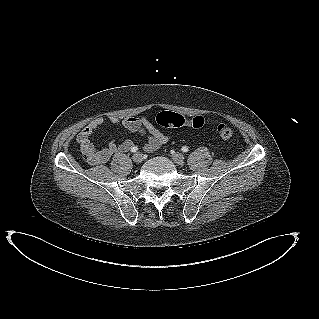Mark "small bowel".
<instances>
[{
    "label": "small bowel",
    "mask_w": 319,
    "mask_h": 319,
    "mask_svg": "<svg viewBox=\"0 0 319 319\" xmlns=\"http://www.w3.org/2000/svg\"><path fill=\"white\" fill-rule=\"evenodd\" d=\"M108 120L114 125L120 123V119L117 116H110ZM104 123V117H97L77 135V142L80 145L81 152L87 157L88 162L93 165L105 164L113 155L127 153L134 147V143L131 140H125L119 144L110 142L106 147L96 149L92 142V137L94 132ZM121 123L126 130L139 133L146 138L144 149L147 152H153L162 144L171 140L170 135L159 131L144 117H126Z\"/></svg>",
    "instance_id": "c3829d8e"
}]
</instances>
